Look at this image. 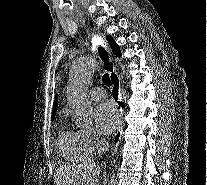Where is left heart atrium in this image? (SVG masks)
I'll return each mask as SVG.
<instances>
[{"label":"left heart atrium","mask_w":207,"mask_h":185,"mask_svg":"<svg viewBox=\"0 0 207 185\" xmlns=\"http://www.w3.org/2000/svg\"><path fill=\"white\" fill-rule=\"evenodd\" d=\"M95 122L103 134L112 133L119 122L116 106L108 101L101 103L95 110Z\"/></svg>","instance_id":"39dd6f15"}]
</instances>
